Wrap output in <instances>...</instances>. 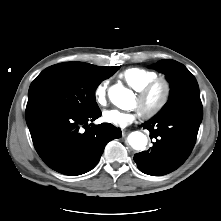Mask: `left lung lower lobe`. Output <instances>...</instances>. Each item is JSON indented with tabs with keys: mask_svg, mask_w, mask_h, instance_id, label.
I'll use <instances>...</instances> for the list:
<instances>
[{
	"mask_svg": "<svg viewBox=\"0 0 221 221\" xmlns=\"http://www.w3.org/2000/svg\"><path fill=\"white\" fill-rule=\"evenodd\" d=\"M202 117V104L197 103L142 124L156 142L151 149L135 154L139 170L162 176L180 167L194 147Z\"/></svg>",
	"mask_w": 221,
	"mask_h": 221,
	"instance_id": "obj_1",
	"label": "left lung lower lobe"
}]
</instances>
